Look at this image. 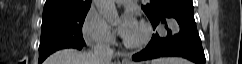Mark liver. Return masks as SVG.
<instances>
[{"label": "liver", "instance_id": "1", "mask_svg": "<svg viewBox=\"0 0 242 64\" xmlns=\"http://www.w3.org/2000/svg\"><path fill=\"white\" fill-rule=\"evenodd\" d=\"M44 64H98L93 54H82L74 49H64L50 55Z\"/></svg>", "mask_w": 242, "mask_h": 64}]
</instances>
